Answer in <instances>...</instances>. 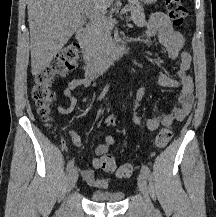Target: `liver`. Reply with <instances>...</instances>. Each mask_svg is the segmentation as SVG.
Instances as JSON below:
<instances>
[{
  "mask_svg": "<svg viewBox=\"0 0 216 217\" xmlns=\"http://www.w3.org/2000/svg\"><path fill=\"white\" fill-rule=\"evenodd\" d=\"M114 0H28L32 75H39L82 26L81 7L102 12Z\"/></svg>",
  "mask_w": 216,
  "mask_h": 217,
  "instance_id": "obj_1",
  "label": "liver"
}]
</instances>
